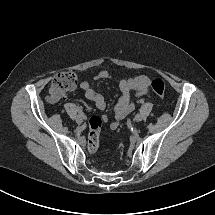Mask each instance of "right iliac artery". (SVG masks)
Returning <instances> with one entry per match:
<instances>
[{
    "label": "right iliac artery",
    "mask_w": 215,
    "mask_h": 215,
    "mask_svg": "<svg viewBox=\"0 0 215 215\" xmlns=\"http://www.w3.org/2000/svg\"><path fill=\"white\" fill-rule=\"evenodd\" d=\"M78 110H79V116L85 119L86 118L85 114L81 111L80 108Z\"/></svg>",
    "instance_id": "1"
}]
</instances>
